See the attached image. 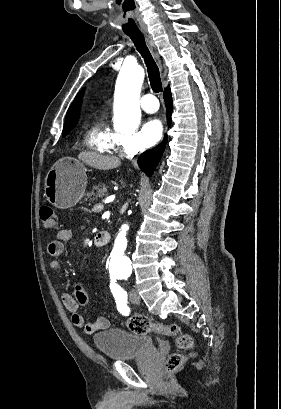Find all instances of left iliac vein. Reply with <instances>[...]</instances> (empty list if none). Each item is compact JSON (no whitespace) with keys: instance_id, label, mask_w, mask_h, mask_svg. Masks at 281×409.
Segmentation results:
<instances>
[{"instance_id":"1","label":"left iliac vein","mask_w":281,"mask_h":409,"mask_svg":"<svg viewBox=\"0 0 281 409\" xmlns=\"http://www.w3.org/2000/svg\"><path fill=\"white\" fill-rule=\"evenodd\" d=\"M129 299L132 303L134 304H139L140 303V297L138 295V292L136 289L132 288L130 293H129Z\"/></svg>"}]
</instances>
